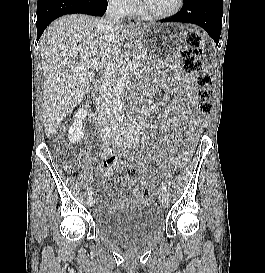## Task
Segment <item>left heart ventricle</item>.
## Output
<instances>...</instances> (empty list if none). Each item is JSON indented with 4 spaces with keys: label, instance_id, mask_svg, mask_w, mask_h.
I'll list each match as a JSON object with an SVG mask.
<instances>
[{
    "label": "left heart ventricle",
    "instance_id": "obj_1",
    "mask_svg": "<svg viewBox=\"0 0 265 273\" xmlns=\"http://www.w3.org/2000/svg\"><path fill=\"white\" fill-rule=\"evenodd\" d=\"M144 6L147 10L155 13H164L172 10L177 0H143Z\"/></svg>",
    "mask_w": 265,
    "mask_h": 273
}]
</instances>
